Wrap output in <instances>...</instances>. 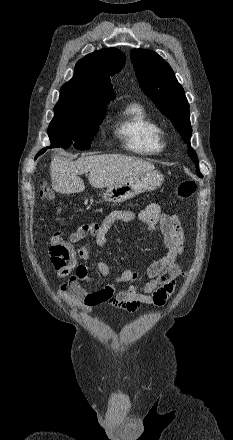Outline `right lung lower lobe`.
Segmentation results:
<instances>
[{"instance_id": "1", "label": "right lung lower lobe", "mask_w": 233, "mask_h": 440, "mask_svg": "<svg viewBox=\"0 0 233 440\" xmlns=\"http://www.w3.org/2000/svg\"><path fill=\"white\" fill-rule=\"evenodd\" d=\"M45 150H46V149L41 150V151L36 155L35 159H36L40 154H42Z\"/></svg>"}]
</instances>
